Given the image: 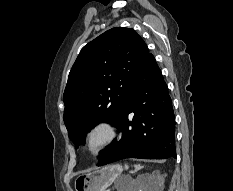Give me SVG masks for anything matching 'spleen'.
I'll return each mask as SVG.
<instances>
[{"instance_id": "spleen-1", "label": "spleen", "mask_w": 233, "mask_h": 191, "mask_svg": "<svg viewBox=\"0 0 233 191\" xmlns=\"http://www.w3.org/2000/svg\"><path fill=\"white\" fill-rule=\"evenodd\" d=\"M125 168H128V166H127V165H125Z\"/></svg>"}]
</instances>
